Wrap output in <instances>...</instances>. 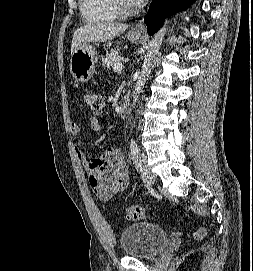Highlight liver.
<instances>
[{
    "instance_id": "1",
    "label": "liver",
    "mask_w": 253,
    "mask_h": 271,
    "mask_svg": "<svg viewBox=\"0 0 253 271\" xmlns=\"http://www.w3.org/2000/svg\"><path fill=\"white\" fill-rule=\"evenodd\" d=\"M128 28L122 23L87 24L74 32L71 55L82 45L89 42H106L113 40Z\"/></svg>"
}]
</instances>
